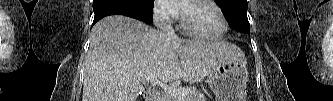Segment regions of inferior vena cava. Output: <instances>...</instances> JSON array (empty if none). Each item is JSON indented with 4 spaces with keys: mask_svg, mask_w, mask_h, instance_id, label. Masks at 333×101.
Listing matches in <instances>:
<instances>
[{
    "mask_svg": "<svg viewBox=\"0 0 333 101\" xmlns=\"http://www.w3.org/2000/svg\"><path fill=\"white\" fill-rule=\"evenodd\" d=\"M159 28L162 32H164L169 38L176 39L177 36L174 33V29L170 23V21L165 20L159 24Z\"/></svg>",
    "mask_w": 333,
    "mask_h": 101,
    "instance_id": "1",
    "label": "inferior vena cava"
}]
</instances>
